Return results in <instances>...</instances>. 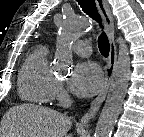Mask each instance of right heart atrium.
I'll return each mask as SVG.
<instances>
[{
  "instance_id": "d8ad5b80",
  "label": "right heart atrium",
  "mask_w": 144,
  "mask_h": 137,
  "mask_svg": "<svg viewBox=\"0 0 144 137\" xmlns=\"http://www.w3.org/2000/svg\"><path fill=\"white\" fill-rule=\"evenodd\" d=\"M54 98L61 105H66L69 102V96L62 81L57 82Z\"/></svg>"
}]
</instances>
